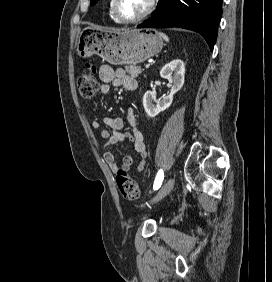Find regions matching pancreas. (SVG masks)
<instances>
[{
	"mask_svg": "<svg viewBox=\"0 0 272 282\" xmlns=\"http://www.w3.org/2000/svg\"><path fill=\"white\" fill-rule=\"evenodd\" d=\"M126 72L131 76V77H138L139 74L142 73V69L140 66H136V65H127L125 67Z\"/></svg>",
	"mask_w": 272,
	"mask_h": 282,
	"instance_id": "obj_1",
	"label": "pancreas"
}]
</instances>
